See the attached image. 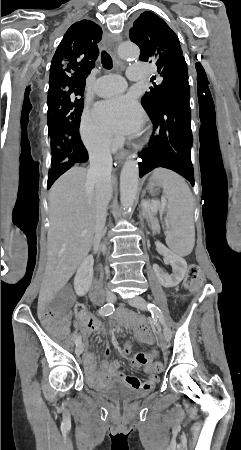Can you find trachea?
<instances>
[{
    "label": "trachea",
    "mask_w": 241,
    "mask_h": 450,
    "mask_svg": "<svg viewBox=\"0 0 241 450\" xmlns=\"http://www.w3.org/2000/svg\"><path fill=\"white\" fill-rule=\"evenodd\" d=\"M101 63L102 66L107 70H110L113 67L112 58L110 57L109 53L105 51L101 53Z\"/></svg>",
    "instance_id": "1"
}]
</instances>
